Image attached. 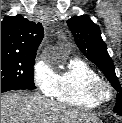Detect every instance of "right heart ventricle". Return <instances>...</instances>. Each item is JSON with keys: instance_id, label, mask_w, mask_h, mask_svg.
I'll use <instances>...</instances> for the list:
<instances>
[{"instance_id": "1", "label": "right heart ventricle", "mask_w": 122, "mask_h": 123, "mask_svg": "<svg viewBox=\"0 0 122 123\" xmlns=\"http://www.w3.org/2000/svg\"><path fill=\"white\" fill-rule=\"evenodd\" d=\"M95 69L82 59L74 58L55 74L52 97L65 105L78 108H95L98 102L87 94L88 83L99 79Z\"/></svg>"}]
</instances>
